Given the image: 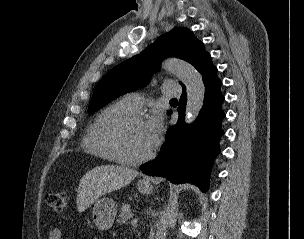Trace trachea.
Here are the masks:
<instances>
[{"instance_id": "trachea-1", "label": "trachea", "mask_w": 304, "mask_h": 239, "mask_svg": "<svg viewBox=\"0 0 304 239\" xmlns=\"http://www.w3.org/2000/svg\"><path fill=\"white\" fill-rule=\"evenodd\" d=\"M170 101H177V99H176V98H174V99H171Z\"/></svg>"}]
</instances>
